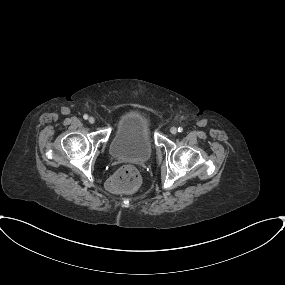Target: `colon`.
I'll return each instance as SVG.
<instances>
[{
  "label": "colon",
  "instance_id": "5ec220e1",
  "mask_svg": "<svg viewBox=\"0 0 285 285\" xmlns=\"http://www.w3.org/2000/svg\"><path fill=\"white\" fill-rule=\"evenodd\" d=\"M140 185V174L132 166L117 170L109 179L107 186L113 192H134Z\"/></svg>",
  "mask_w": 285,
  "mask_h": 285
}]
</instances>
